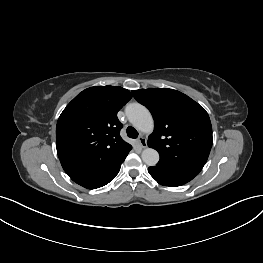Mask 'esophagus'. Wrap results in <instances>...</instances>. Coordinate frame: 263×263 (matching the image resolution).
Masks as SVG:
<instances>
[{
  "mask_svg": "<svg viewBox=\"0 0 263 263\" xmlns=\"http://www.w3.org/2000/svg\"><path fill=\"white\" fill-rule=\"evenodd\" d=\"M138 144L141 148H145L147 146L146 139L143 136L138 138Z\"/></svg>",
  "mask_w": 263,
  "mask_h": 263,
  "instance_id": "34e87169",
  "label": "esophagus"
}]
</instances>
